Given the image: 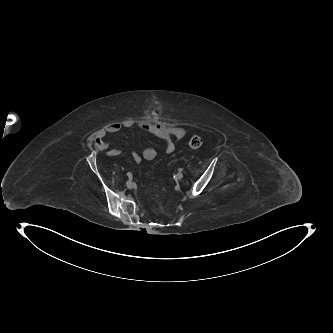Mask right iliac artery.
I'll list each match as a JSON object with an SVG mask.
<instances>
[{
  "label": "right iliac artery",
  "instance_id": "obj_1",
  "mask_svg": "<svg viewBox=\"0 0 333 333\" xmlns=\"http://www.w3.org/2000/svg\"><path fill=\"white\" fill-rule=\"evenodd\" d=\"M127 176H128L129 178H131V177H132V173H131V172H128V173H127Z\"/></svg>",
  "mask_w": 333,
  "mask_h": 333
}]
</instances>
